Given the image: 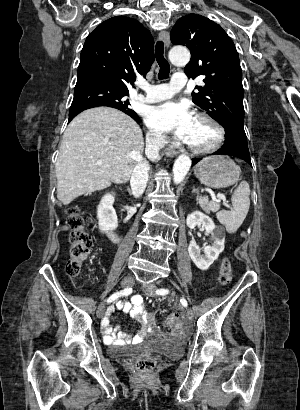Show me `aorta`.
Segmentation results:
<instances>
[{"mask_svg": "<svg viewBox=\"0 0 300 410\" xmlns=\"http://www.w3.org/2000/svg\"><path fill=\"white\" fill-rule=\"evenodd\" d=\"M169 58L176 65H186L190 60V52L185 47H174L169 52ZM191 167V160L186 155H180L173 165V181L181 183Z\"/></svg>", "mask_w": 300, "mask_h": 410, "instance_id": "aorta-1", "label": "aorta"}]
</instances>
